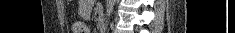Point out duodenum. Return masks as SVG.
<instances>
[{
    "label": "duodenum",
    "mask_w": 235,
    "mask_h": 33,
    "mask_svg": "<svg viewBox=\"0 0 235 33\" xmlns=\"http://www.w3.org/2000/svg\"><path fill=\"white\" fill-rule=\"evenodd\" d=\"M99 27H100L101 32L105 31L106 23H105V18L103 14L99 15Z\"/></svg>",
    "instance_id": "1"
}]
</instances>
